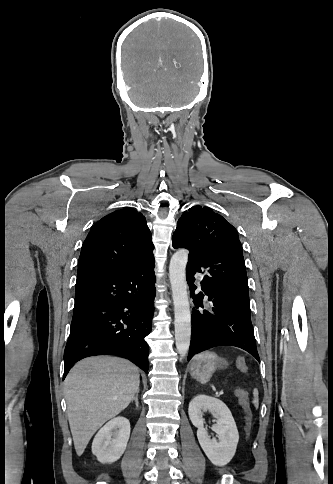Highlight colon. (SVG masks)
<instances>
[{
	"mask_svg": "<svg viewBox=\"0 0 333 484\" xmlns=\"http://www.w3.org/2000/svg\"><path fill=\"white\" fill-rule=\"evenodd\" d=\"M236 366L242 371L246 372L248 370L246 361L244 358L239 357L236 360ZM235 395L239 400L240 405L242 406L244 412H245V418H246V433L247 436H249L250 433V425H251V412L249 408V398H248V392L244 388H236L235 389Z\"/></svg>",
	"mask_w": 333,
	"mask_h": 484,
	"instance_id": "colon-1",
	"label": "colon"
}]
</instances>
